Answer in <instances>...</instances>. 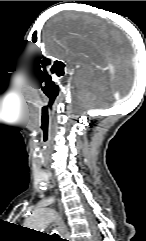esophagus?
<instances>
[{
    "instance_id": "obj_1",
    "label": "esophagus",
    "mask_w": 146,
    "mask_h": 241,
    "mask_svg": "<svg viewBox=\"0 0 146 241\" xmlns=\"http://www.w3.org/2000/svg\"><path fill=\"white\" fill-rule=\"evenodd\" d=\"M58 208H59V213L60 215L62 214V205L60 200H58ZM57 230L59 234L66 240H69V238L66 236V227L64 222L60 219L57 223Z\"/></svg>"
}]
</instances>
